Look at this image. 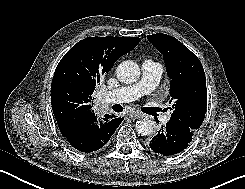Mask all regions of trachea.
Returning a JSON list of instances; mask_svg holds the SVG:
<instances>
[{
	"label": "trachea",
	"mask_w": 245,
	"mask_h": 189,
	"mask_svg": "<svg viewBox=\"0 0 245 189\" xmlns=\"http://www.w3.org/2000/svg\"><path fill=\"white\" fill-rule=\"evenodd\" d=\"M113 110L116 111V112H122L123 107L121 105H119V104H115L113 106Z\"/></svg>",
	"instance_id": "3493384b"
}]
</instances>
